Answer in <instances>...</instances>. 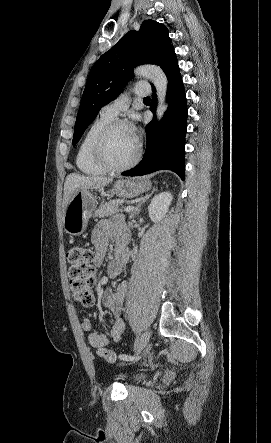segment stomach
Returning a JSON list of instances; mask_svg holds the SVG:
<instances>
[{"label": "stomach", "instance_id": "0dacf381", "mask_svg": "<svg viewBox=\"0 0 271 443\" xmlns=\"http://www.w3.org/2000/svg\"><path fill=\"white\" fill-rule=\"evenodd\" d=\"M151 190V182L145 178L117 180L113 192L118 198H135ZM96 198L88 190H77L64 210V229L71 235H81L95 210Z\"/></svg>", "mask_w": 271, "mask_h": 443}]
</instances>
